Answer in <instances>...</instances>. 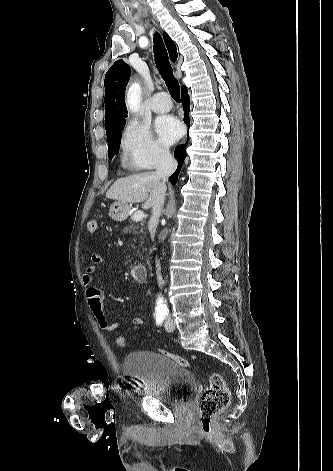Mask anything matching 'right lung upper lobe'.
<instances>
[{
	"mask_svg": "<svg viewBox=\"0 0 333 471\" xmlns=\"http://www.w3.org/2000/svg\"><path fill=\"white\" fill-rule=\"evenodd\" d=\"M172 62L177 59L176 45L167 33H163ZM131 69L123 60L116 61L107 71L105 86V122L106 131L126 121L127 109L124 101L125 88L129 81Z\"/></svg>",
	"mask_w": 333,
	"mask_h": 471,
	"instance_id": "cb5924a9",
	"label": "right lung upper lobe"
}]
</instances>
